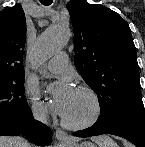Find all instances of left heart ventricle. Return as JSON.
Listing matches in <instances>:
<instances>
[{"label": "left heart ventricle", "instance_id": "b2bd125f", "mask_svg": "<svg viewBox=\"0 0 145 147\" xmlns=\"http://www.w3.org/2000/svg\"><path fill=\"white\" fill-rule=\"evenodd\" d=\"M92 109L93 106L89 97L76 91L70 108L64 117L71 122H80L91 115Z\"/></svg>", "mask_w": 145, "mask_h": 147}]
</instances>
